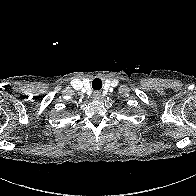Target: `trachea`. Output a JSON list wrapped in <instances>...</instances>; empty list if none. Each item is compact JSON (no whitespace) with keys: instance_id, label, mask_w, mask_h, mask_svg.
<instances>
[{"instance_id":"1","label":"trachea","mask_w":196,"mask_h":196,"mask_svg":"<svg viewBox=\"0 0 196 196\" xmlns=\"http://www.w3.org/2000/svg\"><path fill=\"white\" fill-rule=\"evenodd\" d=\"M99 82H100L99 79H95V80L93 81V83H92V86L94 87V84L99 83Z\"/></svg>"}]
</instances>
